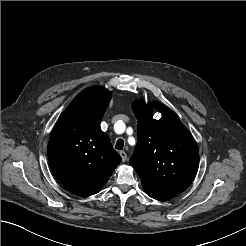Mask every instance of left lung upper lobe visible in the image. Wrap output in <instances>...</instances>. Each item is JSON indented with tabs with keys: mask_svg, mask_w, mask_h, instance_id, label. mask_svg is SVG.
Returning <instances> with one entry per match:
<instances>
[{
	"mask_svg": "<svg viewBox=\"0 0 246 246\" xmlns=\"http://www.w3.org/2000/svg\"><path fill=\"white\" fill-rule=\"evenodd\" d=\"M159 120L152 107L136 101L132 109L138 120V142L129 163L145 189L169 196L183 192L194 179L199 165L197 144L174 112L157 103Z\"/></svg>",
	"mask_w": 246,
	"mask_h": 246,
	"instance_id": "5c2ea615",
	"label": "left lung upper lobe"
}]
</instances>
